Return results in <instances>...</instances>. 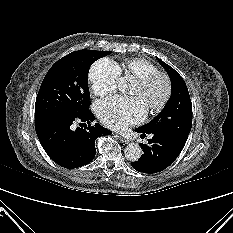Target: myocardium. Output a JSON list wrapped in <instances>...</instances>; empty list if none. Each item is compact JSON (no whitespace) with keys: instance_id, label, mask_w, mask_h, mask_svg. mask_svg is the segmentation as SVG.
<instances>
[{"instance_id":"f54148a6","label":"myocardium","mask_w":233,"mask_h":233,"mask_svg":"<svg viewBox=\"0 0 233 233\" xmlns=\"http://www.w3.org/2000/svg\"><path fill=\"white\" fill-rule=\"evenodd\" d=\"M156 78L163 79V81L165 83V93H164L162 99L156 105L151 106L147 109L148 113H150V114L159 113L161 110L164 109V107L169 102L171 95H172L171 79L166 73H164L162 71H158V70L150 72V73L136 79V84L140 88H145Z\"/></svg>"}]
</instances>
